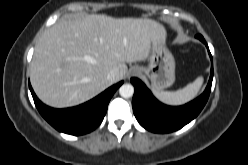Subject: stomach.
Wrapping results in <instances>:
<instances>
[{"instance_id": "1", "label": "stomach", "mask_w": 248, "mask_h": 165, "mask_svg": "<svg viewBox=\"0 0 248 165\" xmlns=\"http://www.w3.org/2000/svg\"><path fill=\"white\" fill-rule=\"evenodd\" d=\"M140 70L150 79L155 90L170 87L175 81V60L165 45V37L152 42L148 66Z\"/></svg>"}]
</instances>
